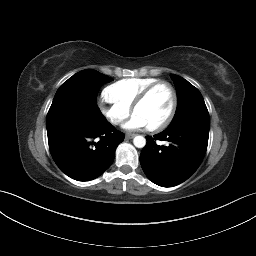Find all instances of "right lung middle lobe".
Segmentation results:
<instances>
[{
  "label": "right lung middle lobe",
  "instance_id": "obj_1",
  "mask_svg": "<svg viewBox=\"0 0 256 256\" xmlns=\"http://www.w3.org/2000/svg\"><path fill=\"white\" fill-rule=\"evenodd\" d=\"M112 80L93 69H85L76 73L56 92L47 117L63 112H99L96 103L98 91L103 84Z\"/></svg>",
  "mask_w": 256,
  "mask_h": 256
}]
</instances>
